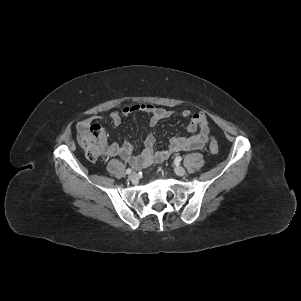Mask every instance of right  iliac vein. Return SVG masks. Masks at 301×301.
I'll return each instance as SVG.
<instances>
[{"mask_svg": "<svg viewBox=\"0 0 301 301\" xmlns=\"http://www.w3.org/2000/svg\"><path fill=\"white\" fill-rule=\"evenodd\" d=\"M128 179L131 181H134L137 179V173L136 172H132L129 176Z\"/></svg>", "mask_w": 301, "mask_h": 301, "instance_id": "right-iliac-vein-1", "label": "right iliac vein"}]
</instances>
